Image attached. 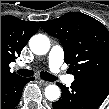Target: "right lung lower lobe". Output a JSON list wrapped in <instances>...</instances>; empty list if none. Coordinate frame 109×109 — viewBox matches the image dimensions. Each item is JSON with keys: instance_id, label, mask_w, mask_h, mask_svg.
Instances as JSON below:
<instances>
[{"instance_id": "obj_1", "label": "right lung lower lobe", "mask_w": 109, "mask_h": 109, "mask_svg": "<svg viewBox=\"0 0 109 109\" xmlns=\"http://www.w3.org/2000/svg\"><path fill=\"white\" fill-rule=\"evenodd\" d=\"M34 78L14 76L1 81V109H13L18 104L23 88Z\"/></svg>"}]
</instances>
